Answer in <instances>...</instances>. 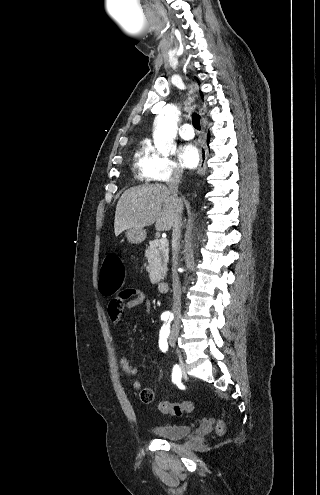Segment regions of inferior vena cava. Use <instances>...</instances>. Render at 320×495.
Instances as JSON below:
<instances>
[{
    "mask_svg": "<svg viewBox=\"0 0 320 495\" xmlns=\"http://www.w3.org/2000/svg\"><path fill=\"white\" fill-rule=\"evenodd\" d=\"M182 176V170L179 168H175L173 170L172 176L168 182V189L170 190L173 196H177L178 193V185L180 183V178ZM181 227H182V217L181 215L177 216L172 229V287H173V312L175 315V321L172 325V332L179 331V319L181 316V286L179 281V276L177 272L178 267V248L180 245L181 238Z\"/></svg>",
    "mask_w": 320,
    "mask_h": 495,
    "instance_id": "602c4592",
    "label": "inferior vena cava"
}]
</instances>
